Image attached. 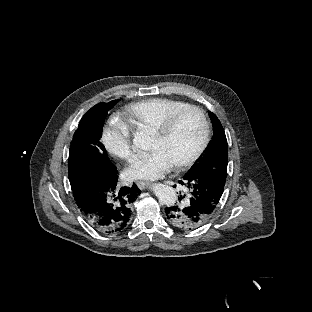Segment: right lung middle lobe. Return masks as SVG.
<instances>
[{
	"label": "right lung middle lobe",
	"mask_w": 312,
	"mask_h": 312,
	"mask_svg": "<svg viewBox=\"0 0 312 312\" xmlns=\"http://www.w3.org/2000/svg\"><path fill=\"white\" fill-rule=\"evenodd\" d=\"M114 101L97 104L79 122L69 150V180L72 191L104 176L117 173L100 139L109 108Z\"/></svg>",
	"instance_id": "1"
}]
</instances>
